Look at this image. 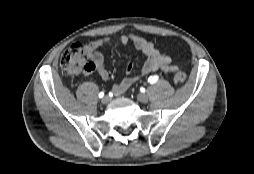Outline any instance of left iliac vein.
<instances>
[{"label":"left iliac vein","instance_id":"1","mask_svg":"<svg viewBox=\"0 0 254 174\" xmlns=\"http://www.w3.org/2000/svg\"><path fill=\"white\" fill-rule=\"evenodd\" d=\"M148 95L145 93H140L137 95V100L141 103H146L148 101Z\"/></svg>","mask_w":254,"mask_h":174}]
</instances>
